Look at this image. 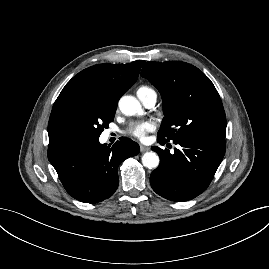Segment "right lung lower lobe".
<instances>
[{
  "instance_id": "98d812e1",
  "label": "right lung lower lobe",
  "mask_w": 269,
  "mask_h": 269,
  "mask_svg": "<svg viewBox=\"0 0 269 269\" xmlns=\"http://www.w3.org/2000/svg\"><path fill=\"white\" fill-rule=\"evenodd\" d=\"M139 151V145L129 138L121 137L112 147L91 139L48 148V159L73 198L94 204L114 194L118 166Z\"/></svg>"
}]
</instances>
